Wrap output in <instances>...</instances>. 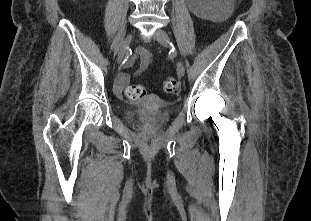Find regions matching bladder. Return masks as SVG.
Returning <instances> with one entry per match:
<instances>
[{"label": "bladder", "instance_id": "31cf9c89", "mask_svg": "<svg viewBox=\"0 0 311 221\" xmlns=\"http://www.w3.org/2000/svg\"><path fill=\"white\" fill-rule=\"evenodd\" d=\"M166 103L163 99H154L151 95L140 97L137 110L132 112L128 121L140 128L143 132H155L167 125L169 118L164 111Z\"/></svg>", "mask_w": 311, "mask_h": 221}]
</instances>
